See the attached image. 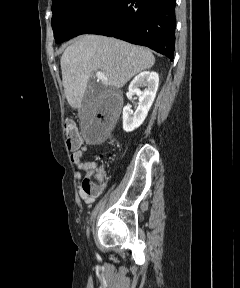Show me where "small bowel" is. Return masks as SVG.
I'll return each instance as SVG.
<instances>
[{
	"mask_svg": "<svg viewBox=\"0 0 240 288\" xmlns=\"http://www.w3.org/2000/svg\"><path fill=\"white\" fill-rule=\"evenodd\" d=\"M88 150V147L81 146L78 149H75L72 151L70 155L71 162L76 166V172H75V180L78 186V194L81 199H83L87 204H90L94 201V199L101 193V191L95 195V196H87L84 194L81 186V172L85 171L87 174L90 173H98L102 174L103 170L102 168H99L97 166V163L95 161H82L83 154Z\"/></svg>",
	"mask_w": 240,
	"mask_h": 288,
	"instance_id": "1",
	"label": "small bowel"
}]
</instances>
